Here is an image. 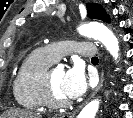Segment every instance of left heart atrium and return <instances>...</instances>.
<instances>
[{"instance_id":"39dd6f15","label":"left heart atrium","mask_w":133,"mask_h":118,"mask_svg":"<svg viewBox=\"0 0 133 118\" xmlns=\"http://www.w3.org/2000/svg\"><path fill=\"white\" fill-rule=\"evenodd\" d=\"M89 88V81L81 65H74L63 76L62 91L66 98L76 99Z\"/></svg>"}]
</instances>
